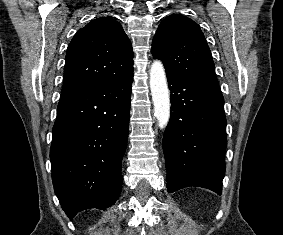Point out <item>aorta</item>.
<instances>
[{"mask_svg":"<svg viewBox=\"0 0 283 235\" xmlns=\"http://www.w3.org/2000/svg\"><path fill=\"white\" fill-rule=\"evenodd\" d=\"M150 89L154 105V115L158 126L163 129L170 118V96L163 64L155 60L150 68Z\"/></svg>","mask_w":283,"mask_h":235,"instance_id":"obj_1","label":"aorta"}]
</instances>
